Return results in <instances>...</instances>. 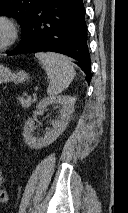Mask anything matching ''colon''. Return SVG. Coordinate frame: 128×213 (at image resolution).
<instances>
[{"instance_id": "1", "label": "colon", "mask_w": 128, "mask_h": 213, "mask_svg": "<svg viewBox=\"0 0 128 213\" xmlns=\"http://www.w3.org/2000/svg\"><path fill=\"white\" fill-rule=\"evenodd\" d=\"M8 199V194H7V190L4 186V177L2 174V171L0 169V204H3L7 201Z\"/></svg>"}]
</instances>
